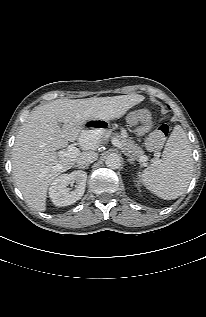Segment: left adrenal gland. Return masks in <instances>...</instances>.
<instances>
[{"instance_id":"a2214340","label":"left adrenal gland","mask_w":206,"mask_h":317,"mask_svg":"<svg viewBox=\"0 0 206 317\" xmlns=\"http://www.w3.org/2000/svg\"><path fill=\"white\" fill-rule=\"evenodd\" d=\"M125 155H127L129 157L128 161L132 162L135 161V158L132 155H129L127 153H125Z\"/></svg>"}]
</instances>
